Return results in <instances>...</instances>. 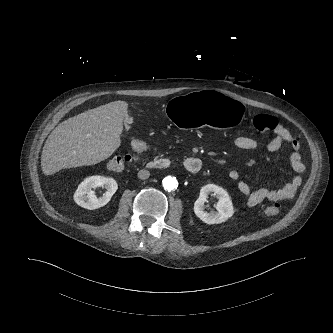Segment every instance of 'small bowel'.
Wrapping results in <instances>:
<instances>
[{
	"instance_id": "c3829d8e",
	"label": "small bowel",
	"mask_w": 333,
	"mask_h": 333,
	"mask_svg": "<svg viewBox=\"0 0 333 333\" xmlns=\"http://www.w3.org/2000/svg\"><path fill=\"white\" fill-rule=\"evenodd\" d=\"M274 137L266 144L270 152L278 151L284 143L292 149L290 163L293 171L297 174L292 181L281 189H270L266 187L252 189L250 185L241 179L238 170H230L228 177L237 183L238 191L246 197L248 206H255L263 201H282L291 200L297 193L301 184V176L305 170L304 163L300 154L301 145L298 139L282 124L276 123L273 129ZM234 145L241 150L254 151L261 147L258 140L248 136H237L233 140ZM131 149L136 154H148L150 145L141 139H135L131 143Z\"/></svg>"
}]
</instances>
